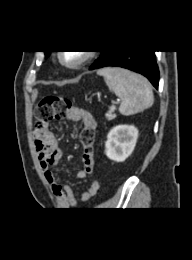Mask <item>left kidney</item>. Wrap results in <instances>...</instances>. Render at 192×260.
I'll return each mask as SVG.
<instances>
[{
    "mask_svg": "<svg viewBox=\"0 0 192 260\" xmlns=\"http://www.w3.org/2000/svg\"><path fill=\"white\" fill-rule=\"evenodd\" d=\"M138 138V129L133 125H118L107 135L105 153L116 162L125 161L133 152Z\"/></svg>",
    "mask_w": 192,
    "mask_h": 260,
    "instance_id": "obj_1",
    "label": "left kidney"
}]
</instances>
